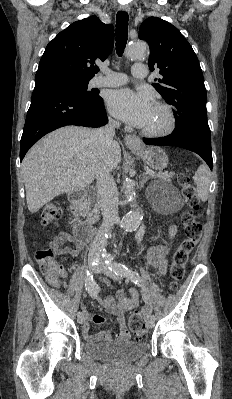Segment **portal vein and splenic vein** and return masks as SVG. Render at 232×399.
<instances>
[{"mask_svg": "<svg viewBox=\"0 0 232 399\" xmlns=\"http://www.w3.org/2000/svg\"><path fill=\"white\" fill-rule=\"evenodd\" d=\"M146 174H154V172H152V170H145Z\"/></svg>", "mask_w": 232, "mask_h": 399, "instance_id": "18ae733b", "label": "portal vein and splenic vein"}]
</instances>
